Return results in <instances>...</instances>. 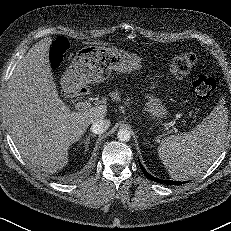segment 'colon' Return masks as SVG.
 <instances>
[{
  "instance_id": "1",
  "label": "colon",
  "mask_w": 231,
  "mask_h": 231,
  "mask_svg": "<svg viewBox=\"0 0 231 231\" xmlns=\"http://www.w3.org/2000/svg\"><path fill=\"white\" fill-rule=\"evenodd\" d=\"M69 49L64 38L57 39L49 52V61L53 67H58ZM196 55L185 52L178 54L172 61L170 71L177 78L184 77L195 65ZM192 86L200 99H208L216 89V81L209 75H197L193 78Z\"/></svg>"
}]
</instances>
